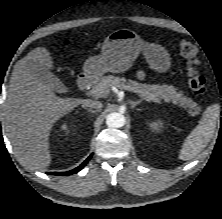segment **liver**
Wrapping results in <instances>:
<instances>
[{
	"label": "liver",
	"instance_id": "1",
	"mask_svg": "<svg viewBox=\"0 0 222 219\" xmlns=\"http://www.w3.org/2000/svg\"><path fill=\"white\" fill-rule=\"evenodd\" d=\"M42 65L54 68L45 47L30 51L14 66L4 104L5 131L18 159L42 170L51 163L49 135L54 123L85 101L60 98L34 74Z\"/></svg>",
	"mask_w": 222,
	"mask_h": 219
}]
</instances>
